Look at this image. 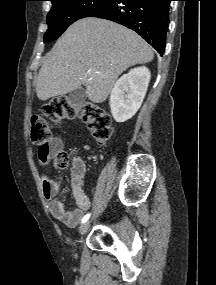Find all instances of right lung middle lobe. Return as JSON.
<instances>
[{
    "instance_id": "obj_1",
    "label": "right lung middle lobe",
    "mask_w": 216,
    "mask_h": 285,
    "mask_svg": "<svg viewBox=\"0 0 216 285\" xmlns=\"http://www.w3.org/2000/svg\"><path fill=\"white\" fill-rule=\"evenodd\" d=\"M52 8L47 15L48 30L44 42H51L75 21L87 17L111 0H50Z\"/></svg>"
}]
</instances>
